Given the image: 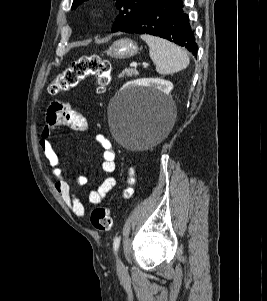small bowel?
Masks as SVG:
<instances>
[{
	"label": "small bowel",
	"mask_w": 267,
	"mask_h": 301,
	"mask_svg": "<svg viewBox=\"0 0 267 301\" xmlns=\"http://www.w3.org/2000/svg\"><path fill=\"white\" fill-rule=\"evenodd\" d=\"M69 128L74 131L87 132L88 122L84 114L72 108L69 104L56 101L47 109L45 125L42 129L40 146L51 172L56 179L55 188L62 197L68 208L78 217L85 215V207L75 196V186H85L88 180L84 176L70 177L66 175L61 167L60 158L55 151L50 138L54 132L61 128ZM94 140L101 148V168L103 172L112 174L115 171V152L111 142L102 135H95ZM117 180L114 176L106 177L95 190L88 192V201L91 204H99L107 194L116 186Z\"/></svg>",
	"instance_id": "c3829d8e"
}]
</instances>
